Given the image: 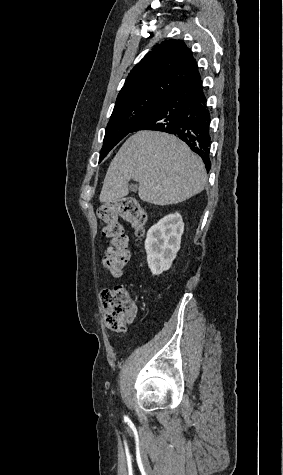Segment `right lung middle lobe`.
Segmentation results:
<instances>
[{"label":"right lung middle lobe","mask_w":283,"mask_h":475,"mask_svg":"<svg viewBox=\"0 0 283 475\" xmlns=\"http://www.w3.org/2000/svg\"><path fill=\"white\" fill-rule=\"evenodd\" d=\"M172 91L159 89L116 102L105 131L99 161Z\"/></svg>","instance_id":"dd1d6c3e"}]
</instances>
